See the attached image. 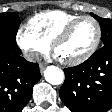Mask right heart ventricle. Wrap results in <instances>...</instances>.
<instances>
[{
  "label": "right heart ventricle",
  "instance_id": "e07e8e85",
  "mask_svg": "<svg viewBox=\"0 0 112 112\" xmlns=\"http://www.w3.org/2000/svg\"><path fill=\"white\" fill-rule=\"evenodd\" d=\"M79 15L63 10H50L36 14L28 21V27L46 43H52L55 36Z\"/></svg>",
  "mask_w": 112,
  "mask_h": 112
}]
</instances>
